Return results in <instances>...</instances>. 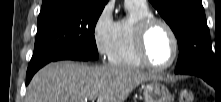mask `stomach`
Here are the masks:
<instances>
[{
	"label": "stomach",
	"mask_w": 221,
	"mask_h": 102,
	"mask_svg": "<svg viewBox=\"0 0 221 102\" xmlns=\"http://www.w3.org/2000/svg\"><path fill=\"white\" fill-rule=\"evenodd\" d=\"M144 102H171L168 88L158 81H152L143 87Z\"/></svg>",
	"instance_id": "1"
}]
</instances>
